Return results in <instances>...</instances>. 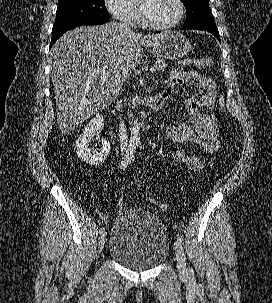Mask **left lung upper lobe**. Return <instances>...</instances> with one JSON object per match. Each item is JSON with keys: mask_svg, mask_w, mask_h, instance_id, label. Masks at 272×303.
I'll return each mask as SVG.
<instances>
[{"mask_svg": "<svg viewBox=\"0 0 272 303\" xmlns=\"http://www.w3.org/2000/svg\"><path fill=\"white\" fill-rule=\"evenodd\" d=\"M186 7V21L184 27H196L215 24L209 0H182Z\"/></svg>", "mask_w": 272, "mask_h": 303, "instance_id": "1", "label": "left lung upper lobe"}]
</instances>
